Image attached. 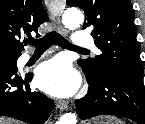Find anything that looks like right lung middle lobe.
<instances>
[{"label":"right lung middle lobe","instance_id":"right-lung-middle-lobe-1","mask_svg":"<svg viewBox=\"0 0 145 124\" xmlns=\"http://www.w3.org/2000/svg\"><path fill=\"white\" fill-rule=\"evenodd\" d=\"M19 57V55H12L4 52H0V60H13Z\"/></svg>","mask_w":145,"mask_h":124}]
</instances>
